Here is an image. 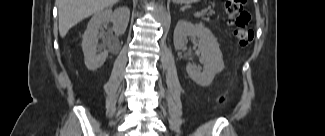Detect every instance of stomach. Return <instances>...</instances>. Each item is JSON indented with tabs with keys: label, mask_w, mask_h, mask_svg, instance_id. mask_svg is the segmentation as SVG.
Segmentation results:
<instances>
[{
	"label": "stomach",
	"mask_w": 325,
	"mask_h": 136,
	"mask_svg": "<svg viewBox=\"0 0 325 136\" xmlns=\"http://www.w3.org/2000/svg\"><path fill=\"white\" fill-rule=\"evenodd\" d=\"M176 2H178V3L189 4V3H191V2H194V0H176Z\"/></svg>",
	"instance_id": "1"
}]
</instances>
